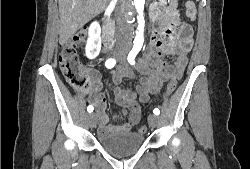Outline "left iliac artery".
<instances>
[{
	"mask_svg": "<svg viewBox=\"0 0 250 169\" xmlns=\"http://www.w3.org/2000/svg\"><path fill=\"white\" fill-rule=\"evenodd\" d=\"M138 52H139V50H132V51L129 53L127 59H128V62H129L131 65H134V64H135V57H136V55L138 54ZM153 113H154L155 115H159V114H160V111H159L158 108H155V109L153 110Z\"/></svg>",
	"mask_w": 250,
	"mask_h": 169,
	"instance_id": "left-iliac-artery-1",
	"label": "left iliac artery"
}]
</instances>
